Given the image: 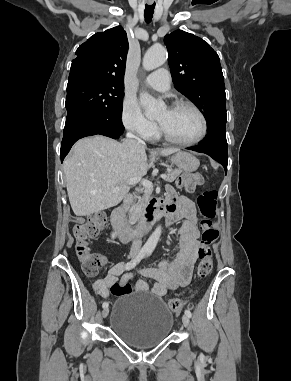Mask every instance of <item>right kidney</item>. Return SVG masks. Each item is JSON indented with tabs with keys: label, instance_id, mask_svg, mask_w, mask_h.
Listing matches in <instances>:
<instances>
[{
	"label": "right kidney",
	"instance_id": "ca27d5eb",
	"mask_svg": "<svg viewBox=\"0 0 291 381\" xmlns=\"http://www.w3.org/2000/svg\"><path fill=\"white\" fill-rule=\"evenodd\" d=\"M115 237H116V233L113 232V233L111 234V238L114 239Z\"/></svg>",
	"mask_w": 291,
	"mask_h": 381
}]
</instances>
